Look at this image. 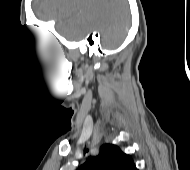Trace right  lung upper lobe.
<instances>
[{
  "mask_svg": "<svg viewBox=\"0 0 190 170\" xmlns=\"http://www.w3.org/2000/svg\"><path fill=\"white\" fill-rule=\"evenodd\" d=\"M77 170H137L130 155L119 147L104 144L97 156L89 157Z\"/></svg>",
  "mask_w": 190,
  "mask_h": 170,
  "instance_id": "1",
  "label": "right lung upper lobe"
}]
</instances>
